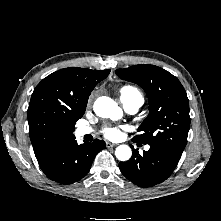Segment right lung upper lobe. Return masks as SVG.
<instances>
[{"label":"right lung upper lobe","instance_id":"obj_1","mask_svg":"<svg viewBox=\"0 0 221 221\" xmlns=\"http://www.w3.org/2000/svg\"><path fill=\"white\" fill-rule=\"evenodd\" d=\"M109 73L110 69L69 67L50 74L36 86L27 117L38 161L75 138V124L83 116L93 88Z\"/></svg>","mask_w":221,"mask_h":221}]
</instances>
